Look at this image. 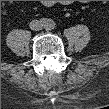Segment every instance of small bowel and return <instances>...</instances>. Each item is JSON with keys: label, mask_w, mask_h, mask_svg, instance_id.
<instances>
[{"label": "small bowel", "mask_w": 109, "mask_h": 109, "mask_svg": "<svg viewBox=\"0 0 109 109\" xmlns=\"http://www.w3.org/2000/svg\"><path fill=\"white\" fill-rule=\"evenodd\" d=\"M50 3H51L50 1H47L45 4H46V5H49Z\"/></svg>", "instance_id": "obj_1"}]
</instances>
